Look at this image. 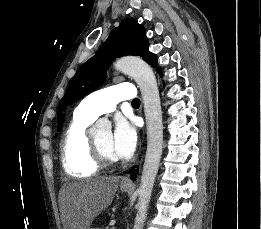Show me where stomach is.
<instances>
[{"mask_svg": "<svg viewBox=\"0 0 261 229\" xmlns=\"http://www.w3.org/2000/svg\"><path fill=\"white\" fill-rule=\"evenodd\" d=\"M121 191H123V193H126V191H128V187H120Z\"/></svg>", "mask_w": 261, "mask_h": 229, "instance_id": "obj_1", "label": "stomach"}]
</instances>
